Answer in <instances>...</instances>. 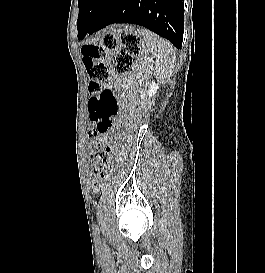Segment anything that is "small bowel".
Listing matches in <instances>:
<instances>
[{"label":"small bowel","instance_id":"c3829d8e","mask_svg":"<svg viewBox=\"0 0 265 273\" xmlns=\"http://www.w3.org/2000/svg\"><path fill=\"white\" fill-rule=\"evenodd\" d=\"M115 80H116L115 76H112V79L106 83V88L108 90H111L113 88H117L118 87L117 83L114 82ZM94 149H96V148L94 147Z\"/></svg>","mask_w":265,"mask_h":273}]
</instances>
